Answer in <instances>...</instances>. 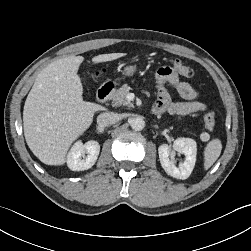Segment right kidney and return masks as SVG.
Here are the masks:
<instances>
[{
    "label": "right kidney",
    "instance_id": "right-kidney-1",
    "mask_svg": "<svg viewBox=\"0 0 251 251\" xmlns=\"http://www.w3.org/2000/svg\"><path fill=\"white\" fill-rule=\"evenodd\" d=\"M100 145L91 140L83 144L76 142L67 156V165L72 171H83L91 168L99 155ZM87 154V156H85Z\"/></svg>",
    "mask_w": 251,
    "mask_h": 251
}]
</instances>
